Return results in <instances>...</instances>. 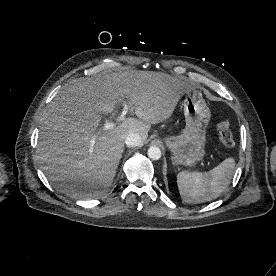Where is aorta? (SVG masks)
<instances>
[{
  "label": "aorta",
  "instance_id": "obj_1",
  "mask_svg": "<svg viewBox=\"0 0 276 276\" xmlns=\"http://www.w3.org/2000/svg\"><path fill=\"white\" fill-rule=\"evenodd\" d=\"M161 150L157 146H150L148 149V157L152 160H159L161 158Z\"/></svg>",
  "mask_w": 276,
  "mask_h": 276
}]
</instances>
